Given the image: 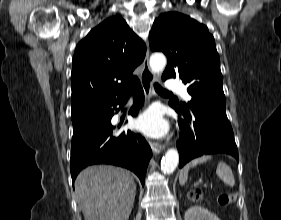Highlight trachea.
<instances>
[{
  "label": "trachea",
  "mask_w": 281,
  "mask_h": 220,
  "mask_svg": "<svg viewBox=\"0 0 281 220\" xmlns=\"http://www.w3.org/2000/svg\"><path fill=\"white\" fill-rule=\"evenodd\" d=\"M155 90L160 94L171 95L172 93L163 89L159 84H154Z\"/></svg>",
  "instance_id": "1"
}]
</instances>
